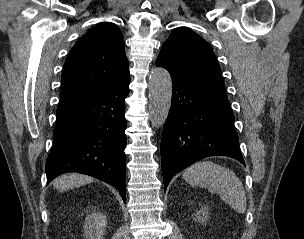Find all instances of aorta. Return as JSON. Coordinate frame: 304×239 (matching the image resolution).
Masks as SVG:
<instances>
[{
    "instance_id": "obj_1",
    "label": "aorta",
    "mask_w": 304,
    "mask_h": 239,
    "mask_svg": "<svg viewBox=\"0 0 304 239\" xmlns=\"http://www.w3.org/2000/svg\"><path fill=\"white\" fill-rule=\"evenodd\" d=\"M149 111L154 127L162 126L167 119L172 98V81L169 72L157 67L149 75Z\"/></svg>"
}]
</instances>
